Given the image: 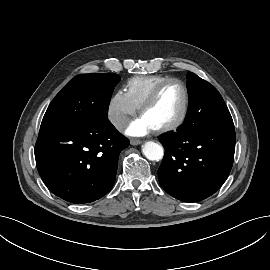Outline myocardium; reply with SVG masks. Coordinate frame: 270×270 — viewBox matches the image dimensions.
I'll return each mask as SVG.
<instances>
[{
	"label": "myocardium",
	"instance_id": "obj_1",
	"mask_svg": "<svg viewBox=\"0 0 270 270\" xmlns=\"http://www.w3.org/2000/svg\"><path fill=\"white\" fill-rule=\"evenodd\" d=\"M171 83H178L182 86L183 91H184V103H183V107L181 110L180 115L173 120L172 122L160 126L158 128H155L154 130L157 133H165V132H169L172 130H175L177 128H179L186 120L188 113H189V109H190V92L188 89L187 84L179 79V78H170L167 79L161 83H159L153 90L152 92L149 94V96L146 98V100L142 103V105L139 108V113L140 115H142L149 107H151L153 105V103L156 101V99L158 98L159 94L161 93V91L169 84Z\"/></svg>",
	"mask_w": 270,
	"mask_h": 270
}]
</instances>
